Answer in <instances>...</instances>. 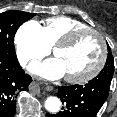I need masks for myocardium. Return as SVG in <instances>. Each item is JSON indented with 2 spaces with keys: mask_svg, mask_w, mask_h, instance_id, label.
<instances>
[{
  "mask_svg": "<svg viewBox=\"0 0 117 117\" xmlns=\"http://www.w3.org/2000/svg\"><path fill=\"white\" fill-rule=\"evenodd\" d=\"M86 33H91L95 35L100 43L101 54H100L99 61L93 69H91L89 72L85 73L84 75L75 76V77L65 76V80L69 83L81 84L92 80L101 72V70L103 69L106 63L107 46H106L105 39L99 31L90 27L73 30L67 33L65 36H63L53 45V48H52L53 54L56 55V52L59 49L70 46L78 37Z\"/></svg>",
  "mask_w": 117,
  "mask_h": 117,
  "instance_id": "1",
  "label": "myocardium"
}]
</instances>
